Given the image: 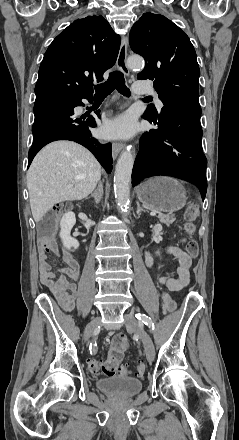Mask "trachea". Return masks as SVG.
<instances>
[{
	"label": "trachea",
	"mask_w": 239,
	"mask_h": 440,
	"mask_svg": "<svg viewBox=\"0 0 239 440\" xmlns=\"http://www.w3.org/2000/svg\"><path fill=\"white\" fill-rule=\"evenodd\" d=\"M94 88L96 92L94 97L97 99L106 98L111 92H113V90H117L122 95H130V90L125 84L124 75L119 70L111 72L106 82L95 85Z\"/></svg>",
	"instance_id": "3493384b"
}]
</instances>
